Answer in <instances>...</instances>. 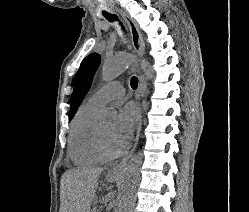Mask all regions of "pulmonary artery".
<instances>
[{
  "label": "pulmonary artery",
  "mask_w": 249,
  "mask_h": 212,
  "mask_svg": "<svg viewBox=\"0 0 249 212\" xmlns=\"http://www.w3.org/2000/svg\"><path fill=\"white\" fill-rule=\"evenodd\" d=\"M125 94V88L121 81H112L93 93L89 101L97 107H102L108 102L123 97Z\"/></svg>",
  "instance_id": "1"
}]
</instances>
